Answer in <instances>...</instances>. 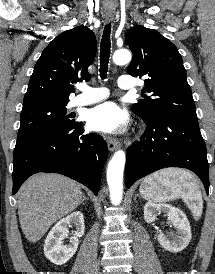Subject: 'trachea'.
<instances>
[{
  "mask_svg": "<svg viewBox=\"0 0 215 274\" xmlns=\"http://www.w3.org/2000/svg\"><path fill=\"white\" fill-rule=\"evenodd\" d=\"M110 33H111V24H107L103 31V36L100 45V77L105 79L108 63L110 58Z\"/></svg>",
  "mask_w": 215,
  "mask_h": 274,
  "instance_id": "1",
  "label": "trachea"
}]
</instances>
